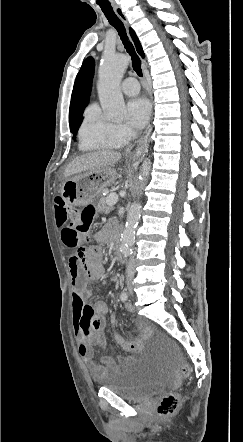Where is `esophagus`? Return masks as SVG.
Here are the masks:
<instances>
[{"label":"esophagus","mask_w":243,"mask_h":442,"mask_svg":"<svg viewBox=\"0 0 243 442\" xmlns=\"http://www.w3.org/2000/svg\"><path fill=\"white\" fill-rule=\"evenodd\" d=\"M114 10L117 14V16L122 20V22L124 23L127 31L129 32V23L128 20L123 12V10L121 9L120 6H115ZM144 75L146 76V71L144 70ZM152 131V124L151 122H149V124L147 125L142 137L139 139L137 147L133 153V158L134 159H138L140 157H142L143 154H145L148 150V144H149V136L150 133Z\"/></svg>","instance_id":"obj_1"}]
</instances>
